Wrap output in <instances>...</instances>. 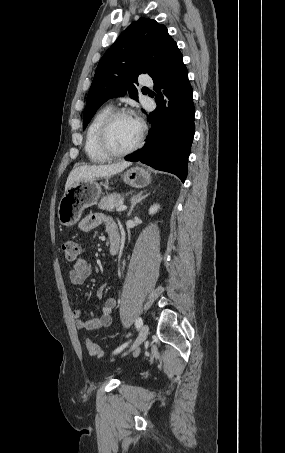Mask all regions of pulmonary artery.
<instances>
[{"label":"pulmonary artery","mask_w":285,"mask_h":453,"mask_svg":"<svg viewBox=\"0 0 285 453\" xmlns=\"http://www.w3.org/2000/svg\"><path fill=\"white\" fill-rule=\"evenodd\" d=\"M140 83L142 85H151L152 84V80L149 77H147V76H141L140 77Z\"/></svg>","instance_id":"1"}]
</instances>
